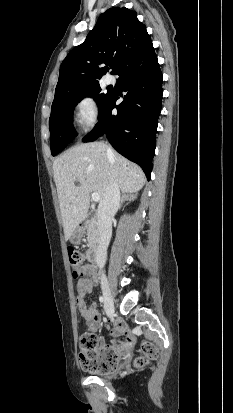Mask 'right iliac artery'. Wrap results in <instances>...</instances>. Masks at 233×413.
Instances as JSON below:
<instances>
[{
	"mask_svg": "<svg viewBox=\"0 0 233 413\" xmlns=\"http://www.w3.org/2000/svg\"><path fill=\"white\" fill-rule=\"evenodd\" d=\"M99 301H100L101 303H103V302H104V298H103L102 296H100V297H99Z\"/></svg>",
	"mask_w": 233,
	"mask_h": 413,
	"instance_id": "1",
	"label": "right iliac artery"
}]
</instances>
